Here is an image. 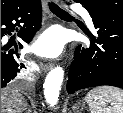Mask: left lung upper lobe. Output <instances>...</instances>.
Segmentation results:
<instances>
[{
  "mask_svg": "<svg viewBox=\"0 0 123 113\" xmlns=\"http://www.w3.org/2000/svg\"><path fill=\"white\" fill-rule=\"evenodd\" d=\"M75 2H94L106 11H115L123 15V0H74Z\"/></svg>",
  "mask_w": 123,
  "mask_h": 113,
  "instance_id": "left-lung-upper-lobe-1",
  "label": "left lung upper lobe"
}]
</instances>
